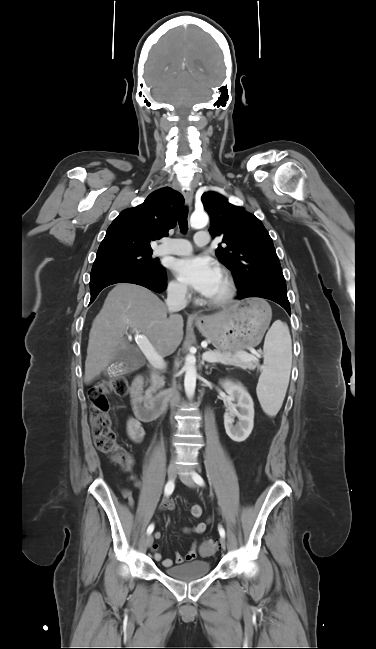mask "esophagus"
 <instances>
[{
  "label": "esophagus",
  "mask_w": 376,
  "mask_h": 649,
  "mask_svg": "<svg viewBox=\"0 0 376 649\" xmlns=\"http://www.w3.org/2000/svg\"><path fill=\"white\" fill-rule=\"evenodd\" d=\"M183 196L187 206L190 208L193 202V190L191 188H184ZM193 317L197 318L198 316L196 314H193Z\"/></svg>",
  "instance_id": "34e87169"
}]
</instances>
